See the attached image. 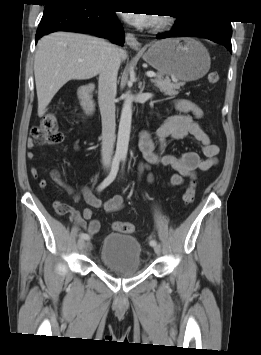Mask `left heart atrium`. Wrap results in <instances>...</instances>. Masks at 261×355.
I'll return each mask as SVG.
<instances>
[{"mask_svg":"<svg viewBox=\"0 0 261 355\" xmlns=\"http://www.w3.org/2000/svg\"><path fill=\"white\" fill-rule=\"evenodd\" d=\"M124 19L134 26L146 27L155 23V16L151 13H126L123 12Z\"/></svg>","mask_w":261,"mask_h":355,"instance_id":"left-heart-atrium-1","label":"left heart atrium"}]
</instances>
